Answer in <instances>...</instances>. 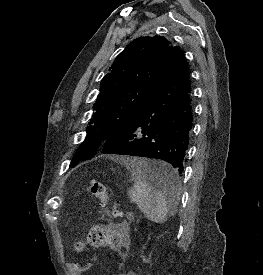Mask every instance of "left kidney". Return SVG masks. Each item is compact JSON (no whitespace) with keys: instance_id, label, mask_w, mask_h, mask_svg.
Wrapping results in <instances>:
<instances>
[{"instance_id":"left-kidney-1","label":"left kidney","mask_w":263,"mask_h":275,"mask_svg":"<svg viewBox=\"0 0 263 275\" xmlns=\"http://www.w3.org/2000/svg\"><path fill=\"white\" fill-rule=\"evenodd\" d=\"M141 257H142L143 261L146 262L145 256H141Z\"/></svg>"}]
</instances>
